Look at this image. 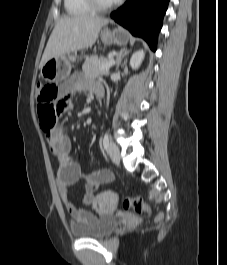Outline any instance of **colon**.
<instances>
[{
	"mask_svg": "<svg viewBox=\"0 0 227 265\" xmlns=\"http://www.w3.org/2000/svg\"><path fill=\"white\" fill-rule=\"evenodd\" d=\"M37 109L40 124L45 132H49L56 124L57 118L63 112H58L57 100L64 99L59 97V88L55 84H41L37 85ZM123 207L125 210L133 211L135 213L149 212L146 202L137 197H125L123 199ZM163 218L160 213L157 216V221Z\"/></svg>",
	"mask_w": 227,
	"mask_h": 265,
	"instance_id": "5ec220e1",
	"label": "colon"
}]
</instances>
